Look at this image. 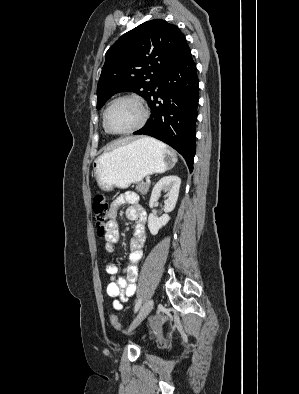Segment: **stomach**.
<instances>
[{
    "mask_svg": "<svg viewBox=\"0 0 299 394\" xmlns=\"http://www.w3.org/2000/svg\"><path fill=\"white\" fill-rule=\"evenodd\" d=\"M176 161L174 152L145 137L100 155L93 163L92 176L105 191L126 188L147 175L173 168Z\"/></svg>",
    "mask_w": 299,
    "mask_h": 394,
    "instance_id": "obj_1",
    "label": "stomach"
}]
</instances>
